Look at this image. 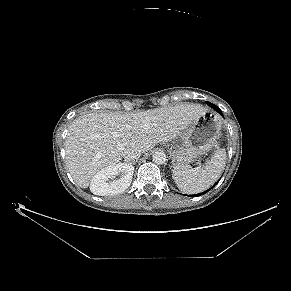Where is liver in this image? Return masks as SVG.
Segmentation results:
<instances>
[{"label": "liver", "instance_id": "6515ba94", "mask_svg": "<svg viewBox=\"0 0 291 291\" xmlns=\"http://www.w3.org/2000/svg\"><path fill=\"white\" fill-rule=\"evenodd\" d=\"M206 112L202 105L182 103L132 114L93 112L79 116L69 126L65 141L67 169L79 187L87 188L95 174L122 159L127 147L148 152L157 143L176 139Z\"/></svg>", "mask_w": 291, "mask_h": 291}]
</instances>
